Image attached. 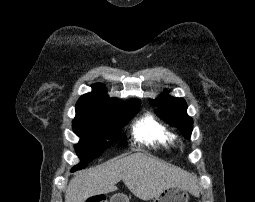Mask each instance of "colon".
Masks as SVG:
<instances>
[{"instance_id": "obj_1", "label": "colon", "mask_w": 255, "mask_h": 202, "mask_svg": "<svg viewBox=\"0 0 255 202\" xmlns=\"http://www.w3.org/2000/svg\"><path fill=\"white\" fill-rule=\"evenodd\" d=\"M87 202H105V200L100 197H92V198L88 199Z\"/></svg>"}]
</instances>
